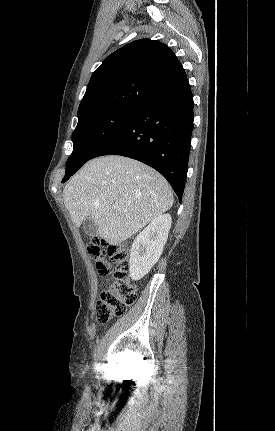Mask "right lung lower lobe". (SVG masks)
Wrapping results in <instances>:
<instances>
[{"label":"right lung lower lobe","mask_w":275,"mask_h":431,"mask_svg":"<svg viewBox=\"0 0 275 431\" xmlns=\"http://www.w3.org/2000/svg\"><path fill=\"white\" fill-rule=\"evenodd\" d=\"M193 120V95L185 78L140 106L126 125L92 158L122 155L141 161L160 172L181 201Z\"/></svg>","instance_id":"98d812e1"}]
</instances>
